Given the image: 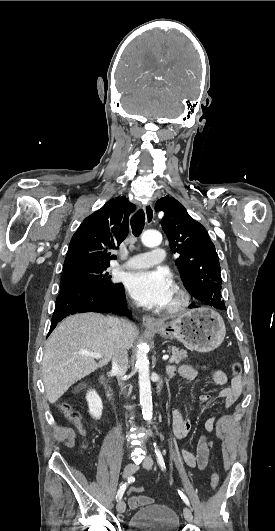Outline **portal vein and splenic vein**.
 I'll return each mask as SVG.
<instances>
[{"label": "portal vein and splenic vein", "mask_w": 275, "mask_h": 531, "mask_svg": "<svg viewBox=\"0 0 275 531\" xmlns=\"http://www.w3.org/2000/svg\"><path fill=\"white\" fill-rule=\"evenodd\" d=\"M81 355H84V357H94V359H102V355H100V353H81ZM162 359L167 361V359H169V355H164Z\"/></svg>", "instance_id": "portal-vein-and-splenic-vein-1"}]
</instances>
